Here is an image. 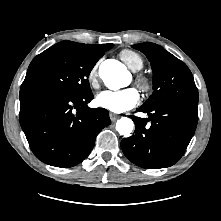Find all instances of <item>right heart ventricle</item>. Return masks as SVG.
Masks as SVG:
<instances>
[{"instance_id":"1","label":"right heart ventricle","mask_w":221,"mask_h":221,"mask_svg":"<svg viewBox=\"0 0 221 221\" xmlns=\"http://www.w3.org/2000/svg\"><path fill=\"white\" fill-rule=\"evenodd\" d=\"M119 57L133 71H139L144 66L143 57L134 50L123 49L119 52Z\"/></svg>"}]
</instances>
